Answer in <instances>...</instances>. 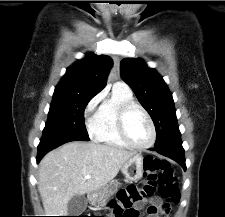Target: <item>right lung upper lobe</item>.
<instances>
[{
  "label": "right lung upper lobe",
  "mask_w": 225,
  "mask_h": 217,
  "mask_svg": "<svg viewBox=\"0 0 225 217\" xmlns=\"http://www.w3.org/2000/svg\"><path fill=\"white\" fill-rule=\"evenodd\" d=\"M113 65L107 55L87 56L70 66L54 91V95L95 96L106 85V79Z\"/></svg>",
  "instance_id": "cb5924a9"
}]
</instances>
